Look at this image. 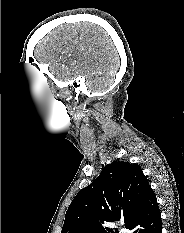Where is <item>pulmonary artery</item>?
Here are the masks:
<instances>
[{"label": "pulmonary artery", "mask_w": 184, "mask_h": 233, "mask_svg": "<svg viewBox=\"0 0 184 233\" xmlns=\"http://www.w3.org/2000/svg\"><path fill=\"white\" fill-rule=\"evenodd\" d=\"M120 233H129V231L126 228H121Z\"/></svg>", "instance_id": "obj_1"}]
</instances>
